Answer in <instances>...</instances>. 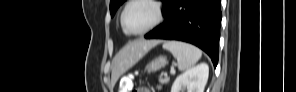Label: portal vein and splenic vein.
I'll return each mask as SVG.
<instances>
[{
	"label": "portal vein and splenic vein",
	"mask_w": 296,
	"mask_h": 92,
	"mask_svg": "<svg viewBox=\"0 0 296 92\" xmlns=\"http://www.w3.org/2000/svg\"><path fill=\"white\" fill-rule=\"evenodd\" d=\"M170 73L171 74H175V69L174 68H171Z\"/></svg>",
	"instance_id": "1"
}]
</instances>
